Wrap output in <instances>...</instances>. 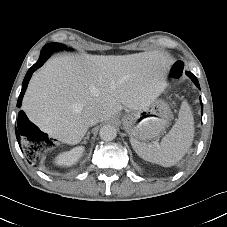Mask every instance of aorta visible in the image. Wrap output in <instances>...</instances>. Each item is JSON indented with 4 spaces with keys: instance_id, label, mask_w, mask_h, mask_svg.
Returning <instances> with one entry per match:
<instances>
[{
    "instance_id": "1",
    "label": "aorta",
    "mask_w": 227,
    "mask_h": 227,
    "mask_svg": "<svg viewBox=\"0 0 227 227\" xmlns=\"http://www.w3.org/2000/svg\"><path fill=\"white\" fill-rule=\"evenodd\" d=\"M99 136L103 141H112L117 136V130L111 125H105L101 127Z\"/></svg>"
}]
</instances>
